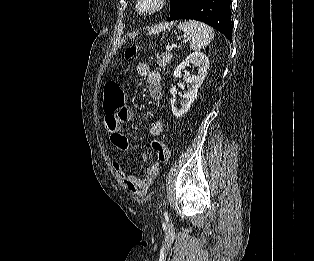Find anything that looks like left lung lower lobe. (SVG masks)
Returning a JSON list of instances; mask_svg holds the SVG:
<instances>
[{"mask_svg": "<svg viewBox=\"0 0 314 261\" xmlns=\"http://www.w3.org/2000/svg\"><path fill=\"white\" fill-rule=\"evenodd\" d=\"M231 0H184L178 11L169 20L194 19L212 26L232 38Z\"/></svg>", "mask_w": 314, "mask_h": 261, "instance_id": "left-lung-lower-lobe-1", "label": "left lung lower lobe"}]
</instances>
